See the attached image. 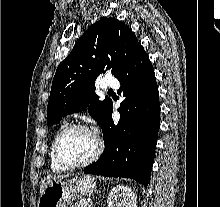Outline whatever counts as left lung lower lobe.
<instances>
[{
  "label": "left lung lower lobe",
  "instance_id": "0a47b994",
  "mask_svg": "<svg viewBox=\"0 0 220 207\" xmlns=\"http://www.w3.org/2000/svg\"><path fill=\"white\" fill-rule=\"evenodd\" d=\"M116 78L121 82L118 93L125 97L118 109L121 119L114 125L111 103L101 126L105 149L84 172L130 178L147 187L160 128V104L154 70L140 43Z\"/></svg>",
  "mask_w": 220,
  "mask_h": 207
}]
</instances>
